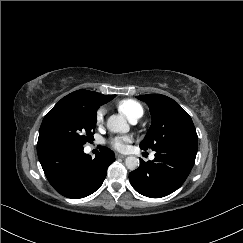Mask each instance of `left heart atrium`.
<instances>
[{
    "label": "left heart atrium",
    "mask_w": 243,
    "mask_h": 243,
    "mask_svg": "<svg viewBox=\"0 0 243 243\" xmlns=\"http://www.w3.org/2000/svg\"><path fill=\"white\" fill-rule=\"evenodd\" d=\"M130 141L129 137H113L110 139L109 143L114 149L124 151L128 148Z\"/></svg>",
    "instance_id": "39dd6f15"
}]
</instances>
